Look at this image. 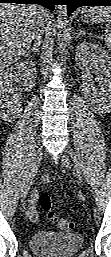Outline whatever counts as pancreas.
<instances>
[{
	"label": "pancreas",
	"instance_id": "cf45deb5",
	"mask_svg": "<svg viewBox=\"0 0 111 257\" xmlns=\"http://www.w3.org/2000/svg\"><path fill=\"white\" fill-rule=\"evenodd\" d=\"M110 42V41H109ZM108 47L111 48V42L108 44Z\"/></svg>",
	"mask_w": 111,
	"mask_h": 257
}]
</instances>
